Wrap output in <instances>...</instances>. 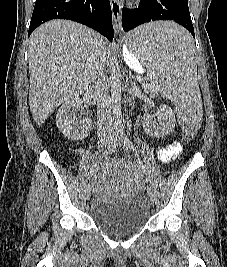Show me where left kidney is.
Returning a JSON list of instances; mask_svg holds the SVG:
<instances>
[{"label":"left kidney","mask_w":227,"mask_h":267,"mask_svg":"<svg viewBox=\"0 0 227 267\" xmlns=\"http://www.w3.org/2000/svg\"><path fill=\"white\" fill-rule=\"evenodd\" d=\"M157 117V121H155ZM143 124L147 133L153 137H163L173 131L176 124L175 114L167 105H161L155 114H145Z\"/></svg>","instance_id":"left-kidney-1"}]
</instances>
